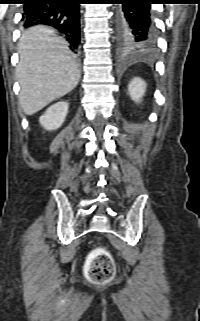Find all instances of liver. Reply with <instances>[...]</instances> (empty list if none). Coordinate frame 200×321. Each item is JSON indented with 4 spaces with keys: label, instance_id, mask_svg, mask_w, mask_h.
Instances as JSON below:
<instances>
[{
    "label": "liver",
    "instance_id": "obj_1",
    "mask_svg": "<svg viewBox=\"0 0 200 321\" xmlns=\"http://www.w3.org/2000/svg\"><path fill=\"white\" fill-rule=\"evenodd\" d=\"M18 53L19 103L26 115L37 113L77 86L81 76L78 64L68 43L53 30L30 28L20 38Z\"/></svg>",
    "mask_w": 200,
    "mask_h": 321
}]
</instances>
